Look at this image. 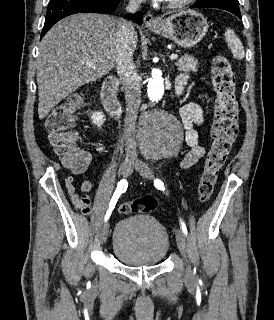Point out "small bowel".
Returning <instances> with one entry per match:
<instances>
[{
  "instance_id": "c3829d8e",
  "label": "small bowel",
  "mask_w": 274,
  "mask_h": 320,
  "mask_svg": "<svg viewBox=\"0 0 274 320\" xmlns=\"http://www.w3.org/2000/svg\"><path fill=\"white\" fill-rule=\"evenodd\" d=\"M186 82L187 77L184 74L177 78V94L181 95L183 93ZM180 117L184 128L185 143L190 148L180 165L183 169H189L199 162L205 155V149L200 145L199 133L196 129L197 126L203 124L204 114L202 108L198 104L187 103L182 107L180 111ZM81 161H86L87 167L72 168L76 174L83 173L94 165V155L84 151ZM92 188V181L90 179H85L80 185V191L82 192V195H79L78 197H71L73 206L85 215H89L91 213V197L89 192L92 190Z\"/></svg>"
}]
</instances>
